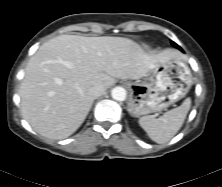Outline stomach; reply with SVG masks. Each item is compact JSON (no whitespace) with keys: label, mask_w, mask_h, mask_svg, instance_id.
Segmentation results:
<instances>
[{"label":"stomach","mask_w":222,"mask_h":187,"mask_svg":"<svg viewBox=\"0 0 222 187\" xmlns=\"http://www.w3.org/2000/svg\"><path fill=\"white\" fill-rule=\"evenodd\" d=\"M148 77L130 83L127 110L135 117L165 110L184 98L193 78L183 57L172 58L152 69Z\"/></svg>","instance_id":"obj_1"}]
</instances>
